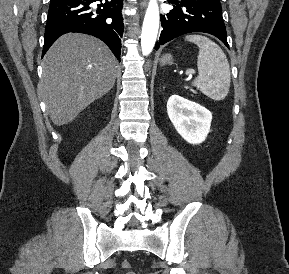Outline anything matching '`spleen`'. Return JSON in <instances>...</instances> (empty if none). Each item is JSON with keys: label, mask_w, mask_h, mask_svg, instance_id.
<instances>
[{"label": "spleen", "mask_w": 289, "mask_h": 274, "mask_svg": "<svg viewBox=\"0 0 289 274\" xmlns=\"http://www.w3.org/2000/svg\"><path fill=\"white\" fill-rule=\"evenodd\" d=\"M186 40L199 48L197 67L199 75L192 83L213 100H223L230 88L231 74L226 55L211 39L202 35H187Z\"/></svg>", "instance_id": "3e777b00"}]
</instances>
